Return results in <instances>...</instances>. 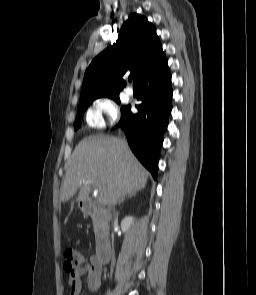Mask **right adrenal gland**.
Masks as SVG:
<instances>
[{
    "mask_svg": "<svg viewBox=\"0 0 256 295\" xmlns=\"http://www.w3.org/2000/svg\"><path fill=\"white\" fill-rule=\"evenodd\" d=\"M135 193H136V192L134 191V192H131V193L126 194V196H122V197L120 198V200H119V205L121 204V202H123V201L125 200V198H130V197L134 196Z\"/></svg>",
    "mask_w": 256,
    "mask_h": 295,
    "instance_id": "1",
    "label": "right adrenal gland"
}]
</instances>
